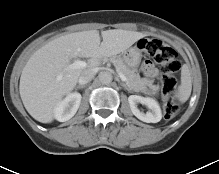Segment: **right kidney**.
<instances>
[{
	"label": "right kidney",
	"mask_w": 219,
	"mask_h": 174,
	"mask_svg": "<svg viewBox=\"0 0 219 174\" xmlns=\"http://www.w3.org/2000/svg\"><path fill=\"white\" fill-rule=\"evenodd\" d=\"M81 94L74 92L68 94L54 109V118L60 122L71 119L77 112L81 103Z\"/></svg>",
	"instance_id": "obj_1"
}]
</instances>
